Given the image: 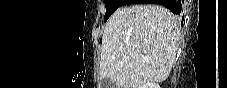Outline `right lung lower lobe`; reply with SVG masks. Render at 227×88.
Returning a JSON list of instances; mask_svg holds the SVG:
<instances>
[{
  "label": "right lung lower lobe",
  "mask_w": 227,
  "mask_h": 88,
  "mask_svg": "<svg viewBox=\"0 0 227 88\" xmlns=\"http://www.w3.org/2000/svg\"><path fill=\"white\" fill-rule=\"evenodd\" d=\"M131 3H155L167 7L172 13L180 15L182 13V2L184 0H130Z\"/></svg>",
  "instance_id": "obj_1"
}]
</instances>
